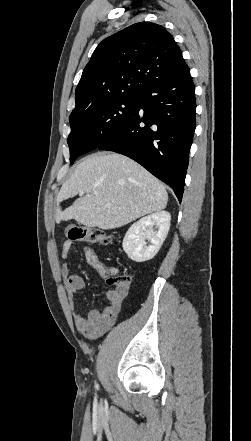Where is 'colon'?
<instances>
[{
	"instance_id": "obj_1",
	"label": "colon",
	"mask_w": 251,
	"mask_h": 441,
	"mask_svg": "<svg viewBox=\"0 0 251 441\" xmlns=\"http://www.w3.org/2000/svg\"><path fill=\"white\" fill-rule=\"evenodd\" d=\"M65 235L70 241H81L94 245H107L111 243L112 236L100 229L90 228L78 223H72L66 226ZM103 278L110 285L117 287H128L130 276L119 273L117 269H106Z\"/></svg>"
}]
</instances>
